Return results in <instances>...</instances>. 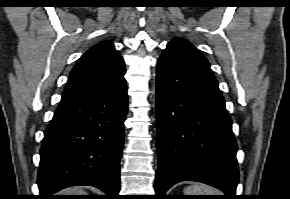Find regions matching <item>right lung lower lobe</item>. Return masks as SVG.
I'll return each instance as SVG.
<instances>
[{
	"mask_svg": "<svg viewBox=\"0 0 290 199\" xmlns=\"http://www.w3.org/2000/svg\"><path fill=\"white\" fill-rule=\"evenodd\" d=\"M128 109L126 81L105 93L62 103L40 150L39 199L69 186L90 185L118 199L120 156Z\"/></svg>",
	"mask_w": 290,
	"mask_h": 199,
	"instance_id": "98d812e1",
	"label": "right lung lower lobe"
}]
</instances>
